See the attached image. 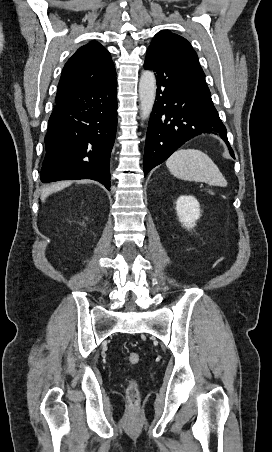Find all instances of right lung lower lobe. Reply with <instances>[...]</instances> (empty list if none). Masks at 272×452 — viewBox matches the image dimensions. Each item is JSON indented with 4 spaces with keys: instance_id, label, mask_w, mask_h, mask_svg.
I'll use <instances>...</instances> for the list:
<instances>
[{
    "instance_id": "right-lung-lower-lobe-1",
    "label": "right lung lower lobe",
    "mask_w": 272,
    "mask_h": 452,
    "mask_svg": "<svg viewBox=\"0 0 272 452\" xmlns=\"http://www.w3.org/2000/svg\"><path fill=\"white\" fill-rule=\"evenodd\" d=\"M116 127V77L57 103L45 136L41 181L92 179L110 190Z\"/></svg>"
}]
</instances>
